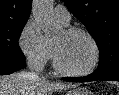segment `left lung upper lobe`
<instances>
[{
  "label": "left lung upper lobe",
  "instance_id": "1",
  "mask_svg": "<svg viewBox=\"0 0 119 95\" xmlns=\"http://www.w3.org/2000/svg\"><path fill=\"white\" fill-rule=\"evenodd\" d=\"M95 39L100 61L95 72L119 70V0H63Z\"/></svg>",
  "mask_w": 119,
  "mask_h": 95
}]
</instances>
